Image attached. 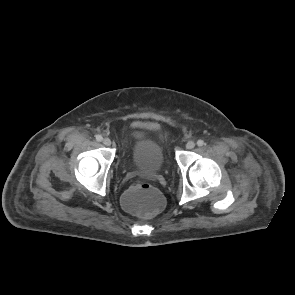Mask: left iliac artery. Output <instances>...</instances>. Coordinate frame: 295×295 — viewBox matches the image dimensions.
<instances>
[{"mask_svg": "<svg viewBox=\"0 0 295 295\" xmlns=\"http://www.w3.org/2000/svg\"><path fill=\"white\" fill-rule=\"evenodd\" d=\"M205 143H204V141L203 140H198L197 141V145L198 146H203Z\"/></svg>", "mask_w": 295, "mask_h": 295, "instance_id": "44dca946", "label": "left iliac artery"}]
</instances>
